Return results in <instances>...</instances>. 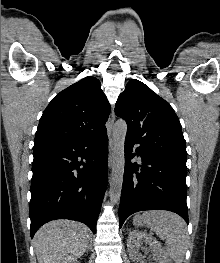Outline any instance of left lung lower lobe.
<instances>
[{"mask_svg":"<svg viewBox=\"0 0 220 263\" xmlns=\"http://www.w3.org/2000/svg\"><path fill=\"white\" fill-rule=\"evenodd\" d=\"M135 144L125 139V168L119 207L120 228L131 214L143 210H168L179 214L188 223L186 204L187 167L163 155L139 146L132 153ZM138 155L139 165L130 160Z\"/></svg>","mask_w":220,"mask_h":263,"instance_id":"1","label":"left lung lower lobe"}]
</instances>
